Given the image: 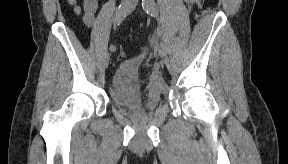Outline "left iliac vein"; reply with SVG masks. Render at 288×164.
<instances>
[{"instance_id": "1", "label": "left iliac vein", "mask_w": 288, "mask_h": 164, "mask_svg": "<svg viewBox=\"0 0 288 164\" xmlns=\"http://www.w3.org/2000/svg\"><path fill=\"white\" fill-rule=\"evenodd\" d=\"M161 58H162V63H165L166 62V52H165L164 47L161 48Z\"/></svg>"}]
</instances>
